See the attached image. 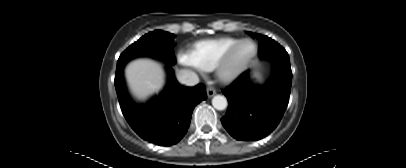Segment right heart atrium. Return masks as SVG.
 <instances>
[{
	"instance_id": "1",
	"label": "right heart atrium",
	"mask_w": 406,
	"mask_h": 168,
	"mask_svg": "<svg viewBox=\"0 0 406 168\" xmlns=\"http://www.w3.org/2000/svg\"><path fill=\"white\" fill-rule=\"evenodd\" d=\"M178 62L186 67H192L193 65L190 63V61L188 60L186 54H179L178 55Z\"/></svg>"
}]
</instances>
